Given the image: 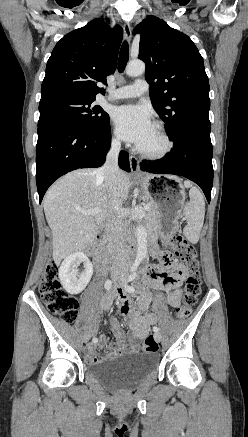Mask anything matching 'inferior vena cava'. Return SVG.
Listing matches in <instances>:
<instances>
[{"label": "inferior vena cava", "mask_w": 248, "mask_h": 437, "mask_svg": "<svg viewBox=\"0 0 248 437\" xmlns=\"http://www.w3.org/2000/svg\"><path fill=\"white\" fill-rule=\"evenodd\" d=\"M121 149L119 139H114L111 149L107 154L105 164L97 170V178H103L111 196L114 213L107 218L108 226L113 240V263L115 266H128L130 260L127 257L123 242V224L119 213L121 210L118 200L119 167L118 154Z\"/></svg>", "instance_id": "602c4592"}]
</instances>
